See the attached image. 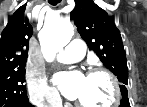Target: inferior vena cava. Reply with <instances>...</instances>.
<instances>
[{"mask_svg":"<svg viewBox=\"0 0 147 107\" xmlns=\"http://www.w3.org/2000/svg\"><path fill=\"white\" fill-rule=\"evenodd\" d=\"M58 107H62V103L61 102L59 103V106Z\"/></svg>","mask_w":147,"mask_h":107,"instance_id":"inferior-vena-cava-1","label":"inferior vena cava"}]
</instances>
